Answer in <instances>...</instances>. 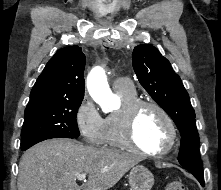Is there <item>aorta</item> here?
Wrapping results in <instances>:
<instances>
[{
	"label": "aorta",
	"mask_w": 221,
	"mask_h": 190,
	"mask_svg": "<svg viewBox=\"0 0 221 190\" xmlns=\"http://www.w3.org/2000/svg\"><path fill=\"white\" fill-rule=\"evenodd\" d=\"M87 89L93 100L98 103L104 113H108L111 103L115 96L113 95L105 71L102 67H95L87 77Z\"/></svg>",
	"instance_id": "obj_1"
}]
</instances>
